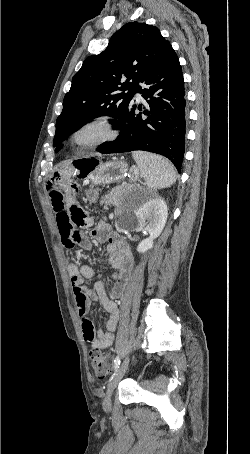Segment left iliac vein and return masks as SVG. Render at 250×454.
Segmentation results:
<instances>
[{"label":"left iliac vein","instance_id":"left-iliac-vein-1","mask_svg":"<svg viewBox=\"0 0 250 454\" xmlns=\"http://www.w3.org/2000/svg\"><path fill=\"white\" fill-rule=\"evenodd\" d=\"M128 365H129V356H127L123 360V362L120 365L118 371L113 376V378L111 379V381L109 382V384L107 386L106 395H105V398H104V401H103V408L106 411H109L111 409V395H112V392L114 391V389L116 388L118 383L121 381V379L125 375V373L127 371V368H128Z\"/></svg>","mask_w":250,"mask_h":454}]
</instances>
